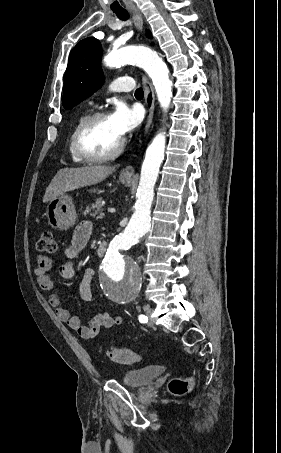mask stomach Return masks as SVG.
Here are the masks:
<instances>
[{"instance_id":"stomach-1","label":"stomach","mask_w":281,"mask_h":453,"mask_svg":"<svg viewBox=\"0 0 281 453\" xmlns=\"http://www.w3.org/2000/svg\"><path fill=\"white\" fill-rule=\"evenodd\" d=\"M120 180L123 184L129 186L132 174L120 176ZM45 214L51 227L57 229V231H68L77 220L76 208L69 194H60V196L49 200Z\"/></svg>"}]
</instances>
